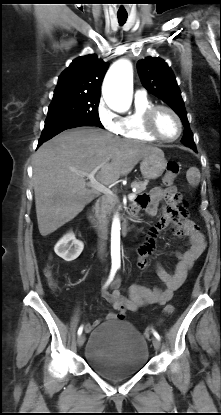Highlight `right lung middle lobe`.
Instances as JSON below:
<instances>
[{"label":"right lung middle lobe","mask_w":221,"mask_h":415,"mask_svg":"<svg viewBox=\"0 0 221 415\" xmlns=\"http://www.w3.org/2000/svg\"><path fill=\"white\" fill-rule=\"evenodd\" d=\"M99 100V95L83 93L54 94L48 109L47 119L84 120L103 128L98 115Z\"/></svg>","instance_id":"1"}]
</instances>
